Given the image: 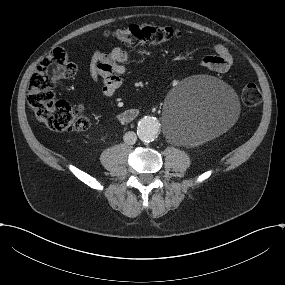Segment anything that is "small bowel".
<instances>
[{"instance_id":"small-bowel-1","label":"small bowel","mask_w":285,"mask_h":285,"mask_svg":"<svg viewBox=\"0 0 285 285\" xmlns=\"http://www.w3.org/2000/svg\"><path fill=\"white\" fill-rule=\"evenodd\" d=\"M213 50L214 53L202 59V65L218 73L228 72L233 65V58L228 48L223 44H216ZM128 58V53L120 47L107 52L95 50L84 69L85 75L103 95L112 97L121 84Z\"/></svg>"}]
</instances>
